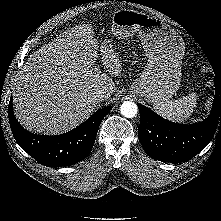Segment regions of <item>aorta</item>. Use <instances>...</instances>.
Listing matches in <instances>:
<instances>
[{
  "instance_id": "aorta-1",
  "label": "aorta",
  "mask_w": 221,
  "mask_h": 221,
  "mask_svg": "<svg viewBox=\"0 0 221 221\" xmlns=\"http://www.w3.org/2000/svg\"><path fill=\"white\" fill-rule=\"evenodd\" d=\"M121 114L126 118H133L137 115L138 107L134 102L126 101L120 107Z\"/></svg>"
}]
</instances>
